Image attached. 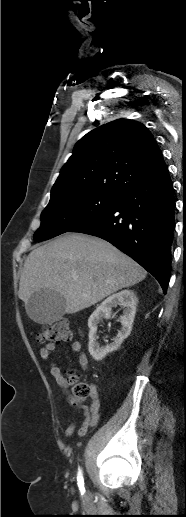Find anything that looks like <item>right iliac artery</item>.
I'll return each mask as SVG.
<instances>
[{
  "label": "right iliac artery",
  "instance_id": "obj_1",
  "mask_svg": "<svg viewBox=\"0 0 186 517\" xmlns=\"http://www.w3.org/2000/svg\"><path fill=\"white\" fill-rule=\"evenodd\" d=\"M77 481H78V486H79L80 490L83 491L84 490V478H83V473H82L81 469H78Z\"/></svg>",
  "mask_w": 186,
  "mask_h": 517
}]
</instances>
